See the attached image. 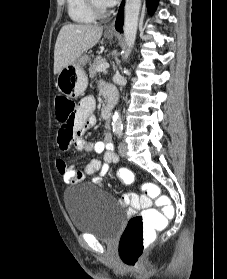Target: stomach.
I'll return each instance as SVG.
<instances>
[{
	"instance_id": "1",
	"label": "stomach",
	"mask_w": 227,
	"mask_h": 279,
	"mask_svg": "<svg viewBox=\"0 0 227 279\" xmlns=\"http://www.w3.org/2000/svg\"><path fill=\"white\" fill-rule=\"evenodd\" d=\"M106 37L113 38L111 33ZM89 61L87 55L80 56L74 63L64 67L57 76L56 85L58 90L70 98L79 97L87 88L88 79L83 66Z\"/></svg>"
}]
</instances>
